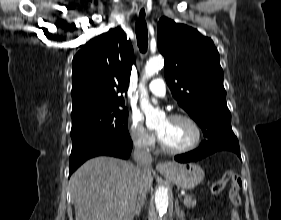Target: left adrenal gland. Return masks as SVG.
Returning a JSON list of instances; mask_svg holds the SVG:
<instances>
[{
    "label": "left adrenal gland",
    "mask_w": 281,
    "mask_h": 220,
    "mask_svg": "<svg viewBox=\"0 0 281 220\" xmlns=\"http://www.w3.org/2000/svg\"><path fill=\"white\" fill-rule=\"evenodd\" d=\"M176 213H177V216L180 218H184V216H185L184 212L180 210L178 202L176 203Z\"/></svg>",
    "instance_id": "1"
}]
</instances>
